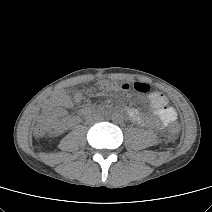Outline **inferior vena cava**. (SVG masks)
Segmentation results:
<instances>
[{
    "label": "inferior vena cava",
    "instance_id": "obj_1",
    "mask_svg": "<svg viewBox=\"0 0 212 212\" xmlns=\"http://www.w3.org/2000/svg\"><path fill=\"white\" fill-rule=\"evenodd\" d=\"M90 120H91L92 122L98 123V122H100L101 117H100V115L95 114V115H92V116L90 117Z\"/></svg>",
    "mask_w": 212,
    "mask_h": 212
}]
</instances>
